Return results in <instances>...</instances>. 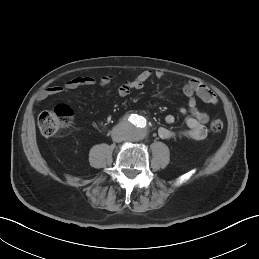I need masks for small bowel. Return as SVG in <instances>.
Wrapping results in <instances>:
<instances>
[{"label": "small bowel", "mask_w": 259, "mask_h": 259, "mask_svg": "<svg viewBox=\"0 0 259 259\" xmlns=\"http://www.w3.org/2000/svg\"><path fill=\"white\" fill-rule=\"evenodd\" d=\"M164 76L165 72L162 70H157L155 72L150 70L142 71L134 79L120 84L117 88V92L119 96L126 97L132 90L143 88L144 84L152 77L162 79ZM112 78V75L106 74L101 76L97 82L96 79L91 76H78L67 81L63 85H55L43 89L37 95L36 100L41 102L49 97L63 95L71 90L81 87L94 86L97 83L101 87H106L111 83ZM182 91L188 99L187 107H180V112L187 115V129L174 131L167 127H160L158 129V135L160 138L167 140L178 138L202 140L207 135L206 124L208 122V115L198 109L195 96H198L204 102L210 104H216L218 101L217 97L210 88L198 80L184 82L182 85ZM174 121L175 117L172 114H168L165 117V122L167 124H173Z\"/></svg>", "instance_id": "c3829d8e"}]
</instances>
